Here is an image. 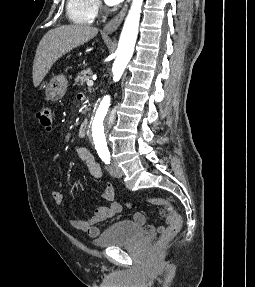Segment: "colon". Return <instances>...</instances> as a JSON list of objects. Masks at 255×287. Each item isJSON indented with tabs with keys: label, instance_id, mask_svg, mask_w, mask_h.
I'll return each mask as SVG.
<instances>
[{
	"label": "colon",
	"instance_id": "obj_1",
	"mask_svg": "<svg viewBox=\"0 0 255 287\" xmlns=\"http://www.w3.org/2000/svg\"><path fill=\"white\" fill-rule=\"evenodd\" d=\"M37 119L39 120L40 124L44 129H46L47 131L52 130L54 114L50 107L44 106L40 108L37 112ZM149 202L152 204L162 205L169 209L171 212V223L169 224V227L162 233L158 240L159 245L165 244L166 242L173 239L180 231L183 223L182 217L166 200L154 198L150 199Z\"/></svg>",
	"mask_w": 255,
	"mask_h": 287
}]
</instances>
